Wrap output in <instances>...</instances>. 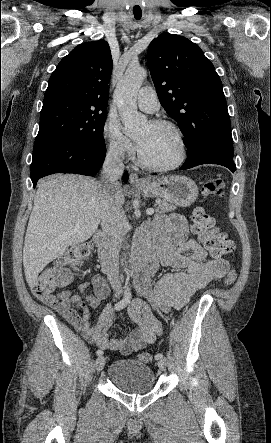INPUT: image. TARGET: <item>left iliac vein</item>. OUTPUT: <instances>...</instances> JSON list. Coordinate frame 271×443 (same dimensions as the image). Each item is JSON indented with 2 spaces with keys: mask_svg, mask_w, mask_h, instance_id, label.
<instances>
[{
  "mask_svg": "<svg viewBox=\"0 0 271 443\" xmlns=\"http://www.w3.org/2000/svg\"><path fill=\"white\" fill-rule=\"evenodd\" d=\"M166 359L162 358L158 361V367L160 370L165 371L166 370Z\"/></svg>",
  "mask_w": 271,
  "mask_h": 443,
  "instance_id": "obj_1",
  "label": "left iliac vein"
}]
</instances>
